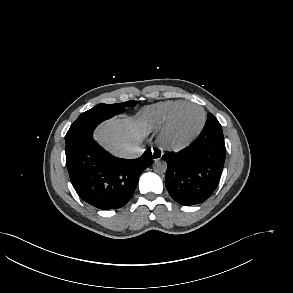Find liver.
<instances>
[{"label": "liver", "mask_w": 293, "mask_h": 293, "mask_svg": "<svg viewBox=\"0 0 293 293\" xmlns=\"http://www.w3.org/2000/svg\"><path fill=\"white\" fill-rule=\"evenodd\" d=\"M149 129L145 119L116 117L98 127L95 139L112 154L122 157L127 148L139 145L144 140Z\"/></svg>", "instance_id": "liver-1"}]
</instances>
